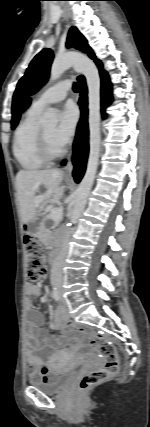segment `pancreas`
Masks as SVG:
<instances>
[{
	"label": "pancreas",
	"instance_id": "1",
	"mask_svg": "<svg viewBox=\"0 0 150 427\" xmlns=\"http://www.w3.org/2000/svg\"><path fill=\"white\" fill-rule=\"evenodd\" d=\"M57 225H58V222H55V223H54V226H57ZM38 237L40 238V240H41V241H45V240H47L49 237H50V238H54V237H51L50 232L45 228V226H44V225H42V226L40 227L39 232H38Z\"/></svg>",
	"mask_w": 150,
	"mask_h": 427
}]
</instances>
